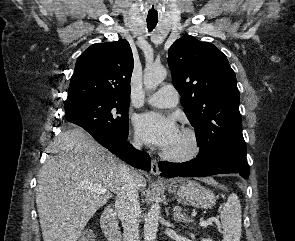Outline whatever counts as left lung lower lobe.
<instances>
[{"label":"left lung lower lobe","mask_w":295,"mask_h":241,"mask_svg":"<svg viewBox=\"0 0 295 241\" xmlns=\"http://www.w3.org/2000/svg\"><path fill=\"white\" fill-rule=\"evenodd\" d=\"M159 169L165 177H202L225 173H239L249 177L247 159L226 154H213L184 163L159 162Z\"/></svg>","instance_id":"obj_1"}]
</instances>
